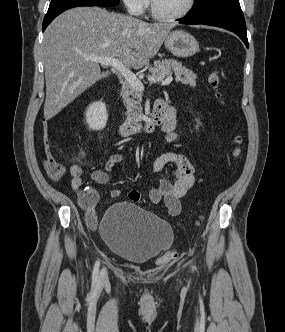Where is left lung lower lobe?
<instances>
[{
    "label": "left lung lower lobe",
    "mask_w": 285,
    "mask_h": 332,
    "mask_svg": "<svg viewBox=\"0 0 285 332\" xmlns=\"http://www.w3.org/2000/svg\"><path fill=\"white\" fill-rule=\"evenodd\" d=\"M184 24L217 26L238 35L248 48L245 19L241 9L224 10L205 15H187L178 20Z\"/></svg>",
    "instance_id": "left-lung-lower-lobe-1"
}]
</instances>
